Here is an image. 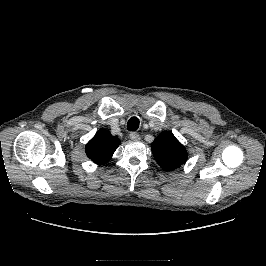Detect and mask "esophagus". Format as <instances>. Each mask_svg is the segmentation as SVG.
I'll return each mask as SVG.
<instances>
[{"instance_id": "esophagus-1", "label": "esophagus", "mask_w": 266, "mask_h": 266, "mask_svg": "<svg viewBox=\"0 0 266 266\" xmlns=\"http://www.w3.org/2000/svg\"><path fill=\"white\" fill-rule=\"evenodd\" d=\"M129 137H130L131 140H134V141H137V140L140 139V135L138 133H136V132H131L129 134Z\"/></svg>"}]
</instances>
